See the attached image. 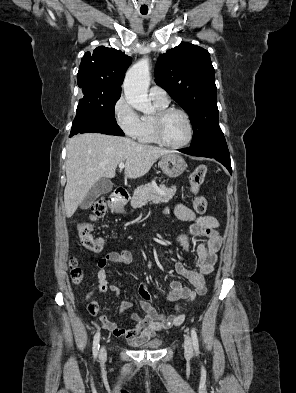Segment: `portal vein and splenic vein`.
Returning <instances> with one entry per match:
<instances>
[{
	"label": "portal vein and splenic vein",
	"instance_id": "portal-vein-and-splenic-vein-1",
	"mask_svg": "<svg viewBox=\"0 0 296 393\" xmlns=\"http://www.w3.org/2000/svg\"><path fill=\"white\" fill-rule=\"evenodd\" d=\"M124 167H125V165H124L123 162L119 163V169H120V170H122Z\"/></svg>",
	"mask_w": 296,
	"mask_h": 393
}]
</instances>
